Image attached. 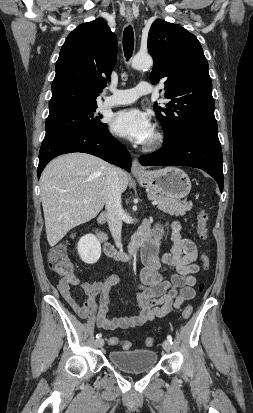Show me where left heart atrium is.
Masks as SVG:
<instances>
[{
    "label": "left heart atrium",
    "instance_id": "obj_1",
    "mask_svg": "<svg viewBox=\"0 0 253 413\" xmlns=\"http://www.w3.org/2000/svg\"><path fill=\"white\" fill-rule=\"evenodd\" d=\"M111 130L139 144L148 143L154 135V124L148 113L140 109H125L113 115Z\"/></svg>",
    "mask_w": 253,
    "mask_h": 413
}]
</instances>
